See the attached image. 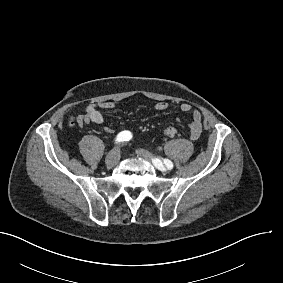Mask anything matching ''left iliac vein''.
Wrapping results in <instances>:
<instances>
[{
    "mask_svg": "<svg viewBox=\"0 0 283 283\" xmlns=\"http://www.w3.org/2000/svg\"><path fill=\"white\" fill-rule=\"evenodd\" d=\"M136 153L138 154V156H140V157H142V158H144V159H146V160H152V161H154V158H153V156L148 152V151H146L145 149H138L137 151H136ZM157 168L159 169V170H161V171H163V172H166L167 171V168L162 164V163H160V165L159 166H157Z\"/></svg>",
    "mask_w": 283,
    "mask_h": 283,
    "instance_id": "4c4485c4",
    "label": "left iliac vein"
}]
</instances>
